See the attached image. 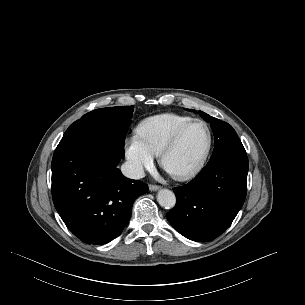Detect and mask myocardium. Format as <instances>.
Masks as SVG:
<instances>
[{
  "label": "myocardium",
  "mask_w": 305,
  "mask_h": 305,
  "mask_svg": "<svg viewBox=\"0 0 305 305\" xmlns=\"http://www.w3.org/2000/svg\"><path fill=\"white\" fill-rule=\"evenodd\" d=\"M197 123L202 124L206 128L207 134H208L207 145H206V148H205L201 158L196 163V165L193 166L191 169H189L185 172H182V173H177V174L171 173L168 170L167 163H166L168 156L177 148L185 131L190 126H192L193 124H197ZM212 144H213V134H212V130H211L210 126L208 125V123L202 119H192V120L188 121L187 123H185L184 125H182L175 132V134L173 135L171 140L166 144V146L161 151V154H160L161 166L163 167V169L166 172H168L172 176V178H174L177 181L190 180V179L194 178L195 176H197L202 171L204 166L206 165L210 152H211V149H212Z\"/></svg>",
  "instance_id": "1"
}]
</instances>
